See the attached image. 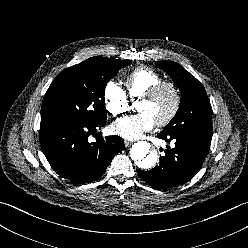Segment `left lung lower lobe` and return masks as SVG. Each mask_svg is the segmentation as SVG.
<instances>
[{
    "mask_svg": "<svg viewBox=\"0 0 248 248\" xmlns=\"http://www.w3.org/2000/svg\"><path fill=\"white\" fill-rule=\"evenodd\" d=\"M157 137L167 142L174 140L175 147L165 150V156L160 157V163L155 168L137 172L143 181L158 189L176 187L191 180L201 169L212 138L164 132Z\"/></svg>",
    "mask_w": 248,
    "mask_h": 248,
    "instance_id": "obj_1",
    "label": "left lung lower lobe"
}]
</instances>
